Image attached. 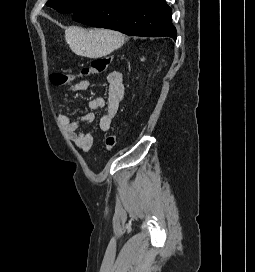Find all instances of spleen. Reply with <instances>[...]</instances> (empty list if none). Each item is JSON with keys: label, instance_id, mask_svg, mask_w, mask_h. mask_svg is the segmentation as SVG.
<instances>
[{"label": "spleen", "instance_id": "3e777b00", "mask_svg": "<svg viewBox=\"0 0 255 272\" xmlns=\"http://www.w3.org/2000/svg\"><path fill=\"white\" fill-rule=\"evenodd\" d=\"M65 39L74 53L90 58L108 55L124 44V36L119 32L77 26L65 30Z\"/></svg>", "mask_w": 255, "mask_h": 272}]
</instances>
